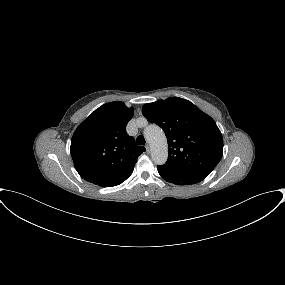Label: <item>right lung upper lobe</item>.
<instances>
[{
  "label": "right lung upper lobe",
  "instance_id": "obj_1",
  "mask_svg": "<svg viewBox=\"0 0 285 285\" xmlns=\"http://www.w3.org/2000/svg\"><path fill=\"white\" fill-rule=\"evenodd\" d=\"M133 108L120 101L96 109L76 129L71 140V156L79 175L88 182L112 187L133 172L144 147L126 133Z\"/></svg>",
  "mask_w": 285,
  "mask_h": 285
}]
</instances>
